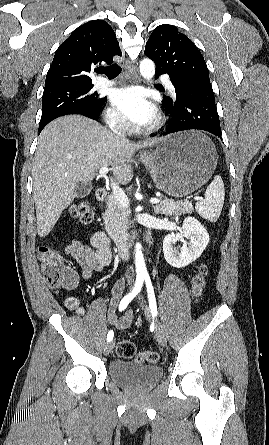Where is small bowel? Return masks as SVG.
Returning <instances> with one entry per match:
<instances>
[{
  "mask_svg": "<svg viewBox=\"0 0 269 445\" xmlns=\"http://www.w3.org/2000/svg\"><path fill=\"white\" fill-rule=\"evenodd\" d=\"M64 253L73 258L79 265L85 280H91L95 272H101L111 262V251L109 248V240L103 232H96L91 238V243L80 240H73L68 244ZM66 271L73 276L77 283V274L70 267L66 266ZM125 287V279H119L113 285L112 298L108 311V320L118 329H126L130 326L133 319V311L129 310L123 317H117L119 309V300ZM65 305L78 316L85 315V309L81 305L79 299L68 297L65 299Z\"/></svg>",
  "mask_w": 269,
  "mask_h": 445,
  "instance_id": "small-bowel-1",
  "label": "small bowel"
}]
</instances>
